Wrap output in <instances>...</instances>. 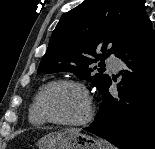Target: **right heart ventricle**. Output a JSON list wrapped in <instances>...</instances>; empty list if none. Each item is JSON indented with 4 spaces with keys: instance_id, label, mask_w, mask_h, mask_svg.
I'll return each instance as SVG.
<instances>
[{
    "instance_id": "1",
    "label": "right heart ventricle",
    "mask_w": 155,
    "mask_h": 149,
    "mask_svg": "<svg viewBox=\"0 0 155 149\" xmlns=\"http://www.w3.org/2000/svg\"><path fill=\"white\" fill-rule=\"evenodd\" d=\"M37 98L38 94L36 95L29 107L28 119L29 122L34 126H44L47 124V121L42 118V116L39 114L37 110Z\"/></svg>"
}]
</instances>
